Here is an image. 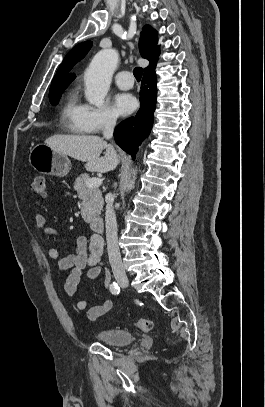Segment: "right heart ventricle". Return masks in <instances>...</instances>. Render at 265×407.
Here are the masks:
<instances>
[{
    "label": "right heart ventricle",
    "mask_w": 265,
    "mask_h": 407,
    "mask_svg": "<svg viewBox=\"0 0 265 407\" xmlns=\"http://www.w3.org/2000/svg\"><path fill=\"white\" fill-rule=\"evenodd\" d=\"M60 120L65 130L78 134L85 135L90 133V130L84 122V108L76 97L74 91H71L60 111Z\"/></svg>",
    "instance_id": "obj_1"
}]
</instances>
